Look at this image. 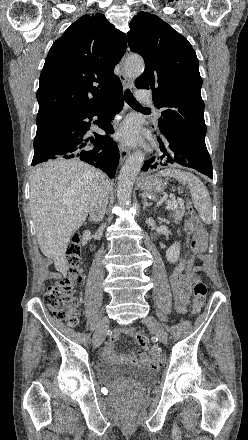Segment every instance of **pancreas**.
Returning a JSON list of instances; mask_svg holds the SVG:
<instances>
[{
  "instance_id": "1",
  "label": "pancreas",
  "mask_w": 248,
  "mask_h": 440,
  "mask_svg": "<svg viewBox=\"0 0 248 440\" xmlns=\"http://www.w3.org/2000/svg\"><path fill=\"white\" fill-rule=\"evenodd\" d=\"M173 212V219L175 223H179L183 216H184V210L178 206H173L171 209H169Z\"/></svg>"
}]
</instances>
